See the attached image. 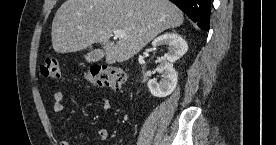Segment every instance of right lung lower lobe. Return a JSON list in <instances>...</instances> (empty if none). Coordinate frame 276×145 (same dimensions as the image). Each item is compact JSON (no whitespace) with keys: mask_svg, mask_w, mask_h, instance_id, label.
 I'll use <instances>...</instances> for the list:
<instances>
[{"mask_svg":"<svg viewBox=\"0 0 276 145\" xmlns=\"http://www.w3.org/2000/svg\"><path fill=\"white\" fill-rule=\"evenodd\" d=\"M177 5L193 22L207 31L210 22L211 0H170Z\"/></svg>","mask_w":276,"mask_h":145,"instance_id":"obj_1","label":"right lung lower lobe"}]
</instances>
